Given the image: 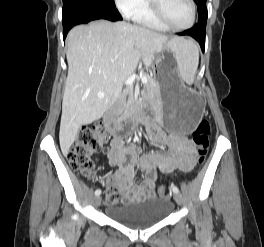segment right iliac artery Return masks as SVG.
<instances>
[{
    "label": "right iliac artery",
    "instance_id": "right-iliac-artery-1",
    "mask_svg": "<svg viewBox=\"0 0 264 247\" xmlns=\"http://www.w3.org/2000/svg\"><path fill=\"white\" fill-rule=\"evenodd\" d=\"M100 194H101V190L97 189V190L95 191V195H96V196H99Z\"/></svg>",
    "mask_w": 264,
    "mask_h": 247
}]
</instances>
